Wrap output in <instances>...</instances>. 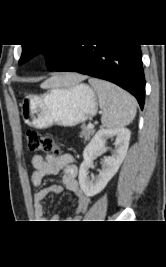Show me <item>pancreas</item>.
Listing matches in <instances>:
<instances>
[{
  "mask_svg": "<svg viewBox=\"0 0 166 267\" xmlns=\"http://www.w3.org/2000/svg\"><path fill=\"white\" fill-rule=\"evenodd\" d=\"M95 130L93 128H88L87 126L81 127L80 137L84 138V141H88L94 134Z\"/></svg>",
  "mask_w": 166,
  "mask_h": 267,
  "instance_id": "cf45deb5",
  "label": "pancreas"
}]
</instances>
